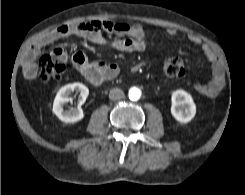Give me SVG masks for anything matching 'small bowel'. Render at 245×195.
<instances>
[{"label":"small bowel","instance_id":"small-bowel-1","mask_svg":"<svg viewBox=\"0 0 245 195\" xmlns=\"http://www.w3.org/2000/svg\"><path fill=\"white\" fill-rule=\"evenodd\" d=\"M104 33L112 34L116 39L108 41ZM168 33L173 35L176 33V30L170 28L168 29ZM69 36L81 37L93 43L109 45L126 52H140L146 48V33L140 24L94 20L61 25L47 32L28 49L23 62L25 77L27 79H34L36 77L37 67L35 58L43 48ZM188 39L201 48L206 59L212 66V76L209 82L196 83L194 89L203 96L214 97L222 90L225 84L223 65L211 47L201 37L196 34H188ZM52 55L62 60L68 59L67 52L62 47L55 48L52 51ZM72 63L85 79L93 85H99L111 80L119 73V67L116 64H108L99 60L89 61L80 52L72 56Z\"/></svg>","mask_w":245,"mask_h":195}]
</instances>
